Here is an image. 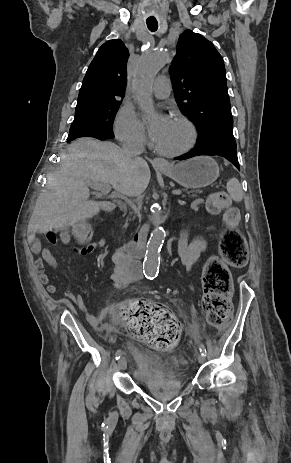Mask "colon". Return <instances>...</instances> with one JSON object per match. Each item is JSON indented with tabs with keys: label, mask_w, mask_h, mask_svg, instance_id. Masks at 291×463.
<instances>
[{
	"label": "colon",
	"mask_w": 291,
	"mask_h": 463,
	"mask_svg": "<svg viewBox=\"0 0 291 463\" xmlns=\"http://www.w3.org/2000/svg\"><path fill=\"white\" fill-rule=\"evenodd\" d=\"M207 206L210 210H224V230L220 251L226 263L242 267L247 261L244 236L237 229L240 223L239 211L231 206V199L224 192L213 194ZM92 236L91 228L84 222H77L71 237L79 244H85ZM49 242L55 243V233H46ZM203 308L210 324L220 326L232 315V282L228 268L218 258L208 261L203 274ZM117 316L123 321L131 335L160 349H170L178 339L179 325L174 317L156 304L136 300L118 307Z\"/></svg>",
	"instance_id": "5ec220e1"
}]
</instances>
